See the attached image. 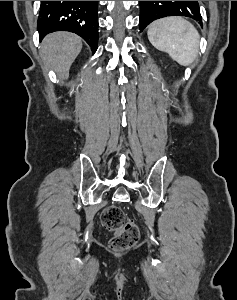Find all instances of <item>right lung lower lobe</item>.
Wrapping results in <instances>:
<instances>
[{"instance_id": "1", "label": "right lung lower lobe", "mask_w": 237, "mask_h": 300, "mask_svg": "<svg viewBox=\"0 0 237 300\" xmlns=\"http://www.w3.org/2000/svg\"><path fill=\"white\" fill-rule=\"evenodd\" d=\"M98 1H42L38 18L39 39L55 31L81 36L95 52L98 43Z\"/></svg>"}]
</instances>
